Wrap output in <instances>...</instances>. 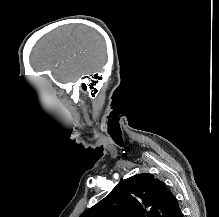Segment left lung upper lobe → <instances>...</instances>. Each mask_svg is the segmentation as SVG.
<instances>
[{
	"label": "left lung upper lobe",
	"instance_id": "5c2ea615",
	"mask_svg": "<svg viewBox=\"0 0 219 217\" xmlns=\"http://www.w3.org/2000/svg\"><path fill=\"white\" fill-rule=\"evenodd\" d=\"M180 207L174 194L152 174L121 180L80 217H176Z\"/></svg>",
	"mask_w": 219,
	"mask_h": 217
}]
</instances>
